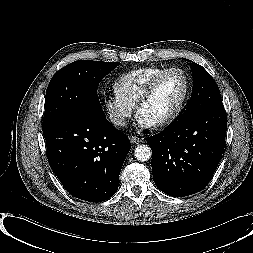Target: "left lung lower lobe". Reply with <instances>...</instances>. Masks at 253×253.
<instances>
[{
	"instance_id": "left-lung-lower-lobe-1",
	"label": "left lung lower lobe",
	"mask_w": 253,
	"mask_h": 253,
	"mask_svg": "<svg viewBox=\"0 0 253 253\" xmlns=\"http://www.w3.org/2000/svg\"><path fill=\"white\" fill-rule=\"evenodd\" d=\"M227 128L222 103L179 118L163 132L151 136L152 174L164 193L183 197L209 183L221 159Z\"/></svg>"
}]
</instances>
